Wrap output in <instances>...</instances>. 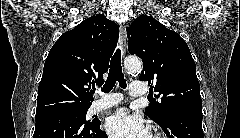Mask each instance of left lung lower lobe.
<instances>
[{
	"instance_id": "obj_1",
	"label": "left lung lower lobe",
	"mask_w": 240,
	"mask_h": 138,
	"mask_svg": "<svg viewBox=\"0 0 240 138\" xmlns=\"http://www.w3.org/2000/svg\"><path fill=\"white\" fill-rule=\"evenodd\" d=\"M202 106L188 105L171 112L159 126L169 138H204Z\"/></svg>"
}]
</instances>
